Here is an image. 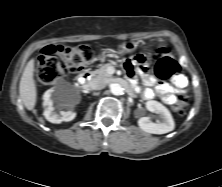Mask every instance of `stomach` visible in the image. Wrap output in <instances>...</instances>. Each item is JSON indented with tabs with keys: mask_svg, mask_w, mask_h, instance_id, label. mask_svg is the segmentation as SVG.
<instances>
[{
	"mask_svg": "<svg viewBox=\"0 0 222 187\" xmlns=\"http://www.w3.org/2000/svg\"><path fill=\"white\" fill-rule=\"evenodd\" d=\"M137 47V43L134 41H129L120 46L122 53H130L134 51ZM105 57V55H104Z\"/></svg>",
	"mask_w": 222,
	"mask_h": 187,
	"instance_id": "obj_1",
	"label": "stomach"
}]
</instances>
